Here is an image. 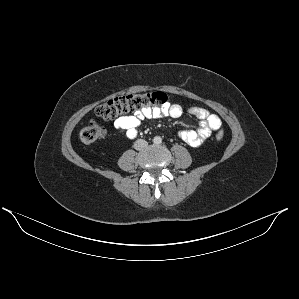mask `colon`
I'll return each mask as SVG.
<instances>
[{"instance_id":"colon-1","label":"colon","mask_w":299,"mask_h":299,"mask_svg":"<svg viewBox=\"0 0 299 299\" xmlns=\"http://www.w3.org/2000/svg\"><path fill=\"white\" fill-rule=\"evenodd\" d=\"M168 103V96L163 92L130 94L113 98L101 103L95 110L96 116L103 120H112L120 115L148 108H160ZM106 130L95 120H91L79 132V139L84 144H91L103 139ZM224 133L218 131L216 139L222 140Z\"/></svg>"}]
</instances>
